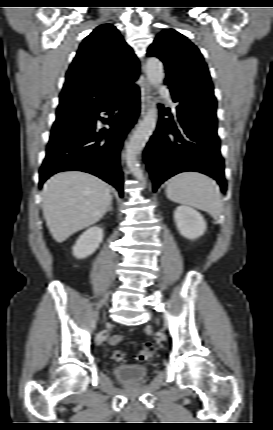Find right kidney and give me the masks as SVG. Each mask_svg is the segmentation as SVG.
Listing matches in <instances>:
<instances>
[{
    "instance_id": "right-kidney-1",
    "label": "right kidney",
    "mask_w": 273,
    "mask_h": 430,
    "mask_svg": "<svg viewBox=\"0 0 273 430\" xmlns=\"http://www.w3.org/2000/svg\"><path fill=\"white\" fill-rule=\"evenodd\" d=\"M103 239V229L94 226L86 230L73 246V255L78 259L92 255L99 247Z\"/></svg>"
}]
</instances>
